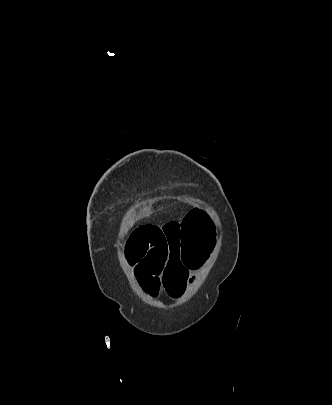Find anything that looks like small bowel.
<instances>
[{"mask_svg": "<svg viewBox=\"0 0 332 405\" xmlns=\"http://www.w3.org/2000/svg\"><path fill=\"white\" fill-rule=\"evenodd\" d=\"M181 228L178 221L162 225H142L136 228L123 247V256L133 270L134 285L146 292L148 302L157 298H178L186 289L192 273L180 262Z\"/></svg>", "mask_w": 332, "mask_h": 405, "instance_id": "c3829d8e", "label": "small bowel"}]
</instances>
